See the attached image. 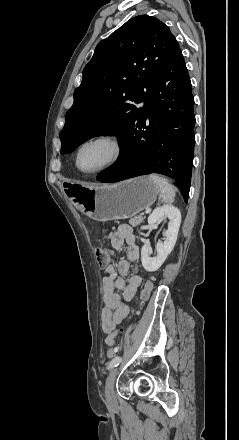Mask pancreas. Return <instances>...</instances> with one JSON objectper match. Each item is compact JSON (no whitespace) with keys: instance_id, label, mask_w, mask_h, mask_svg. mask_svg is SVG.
Masks as SVG:
<instances>
[{"instance_id":"cf45deb5","label":"pancreas","mask_w":239,"mask_h":440,"mask_svg":"<svg viewBox=\"0 0 239 440\" xmlns=\"http://www.w3.org/2000/svg\"><path fill=\"white\" fill-rule=\"evenodd\" d=\"M143 220H145V216H135V218H130L129 224H131V226H139Z\"/></svg>"}]
</instances>
